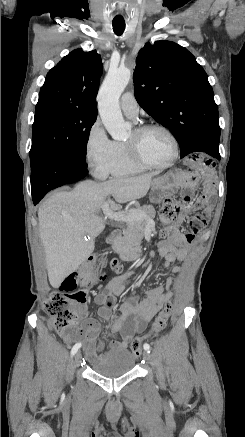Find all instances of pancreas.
Listing matches in <instances>:
<instances>
[{"mask_svg":"<svg viewBox=\"0 0 245 437\" xmlns=\"http://www.w3.org/2000/svg\"><path fill=\"white\" fill-rule=\"evenodd\" d=\"M132 212L133 215L122 225V232L112 243V246L119 251H129L139 247L148 221L155 216V209L152 206L136 207L129 210V213Z\"/></svg>","mask_w":245,"mask_h":437,"instance_id":"pancreas-1","label":"pancreas"}]
</instances>
